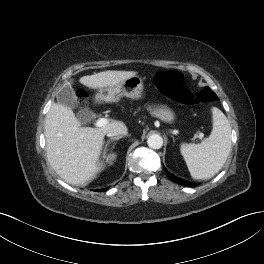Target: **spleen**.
<instances>
[{"mask_svg":"<svg viewBox=\"0 0 264 264\" xmlns=\"http://www.w3.org/2000/svg\"><path fill=\"white\" fill-rule=\"evenodd\" d=\"M213 129L200 144H181L180 152L191 176L195 179L213 177L225 164L231 151V127L217 107L212 108Z\"/></svg>","mask_w":264,"mask_h":264,"instance_id":"1","label":"spleen"}]
</instances>
